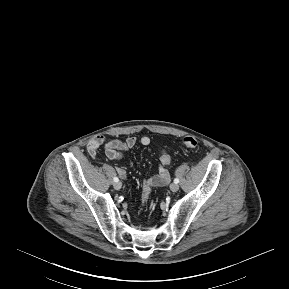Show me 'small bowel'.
Listing matches in <instances>:
<instances>
[{
  "instance_id": "small-bowel-1",
  "label": "small bowel",
  "mask_w": 289,
  "mask_h": 289,
  "mask_svg": "<svg viewBox=\"0 0 289 289\" xmlns=\"http://www.w3.org/2000/svg\"><path fill=\"white\" fill-rule=\"evenodd\" d=\"M138 142L143 146H147L150 144L151 140L148 136H143L140 139L135 136H129L124 140H106L104 136L98 135L89 141L87 149L89 154L92 157H95L97 151L100 148H103L104 154L108 159L118 161L123 158L124 152L133 148ZM157 169L158 174L146 179L143 185L153 188L163 186L171 182L172 179L170 177V172L168 171V167L166 165L159 164ZM116 172L120 177L126 178V171L122 167H117Z\"/></svg>"
}]
</instances>
